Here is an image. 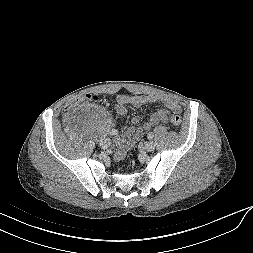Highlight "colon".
<instances>
[{
	"mask_svg": "<svg viewBox=\"0 0 253 253\" xmlns=\"http://www.w3.org/2000/svg\"><path fill=\"white\" fill-rule=\"evenodd\" d=\"M89 99H92L90 95H83V96L77 97L66 106V109L67 111L71 112L74 109L78 108L85 100H89ZM170 121L174 126L178 127L182 124V117L178 114H173L170 117Z\"/></svg>",
	"mask_w": 253,
	"mask_h": 253,
	"instance_id": "1",
	"label": "colon"
}]
</instances>
